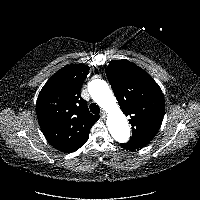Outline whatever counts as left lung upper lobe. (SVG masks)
<instances>
[{
    "instance_id": "5c2ea615",
    "label": "left lung upper lobe",
    "mask_w": 200,
    "mask_h": 200,
    "mask_svg": "<svg viewBox=\"0 0 200 200\" xmlns=\"http://www.w3.org/2000/svg\"><path fill=\"white\" fill-rule=\"evenodd\" d=\"M106 75L120 108L131 117L132 137L124 144L130 150L144 147L156 136L164 117L165 101L159 85L128 60L111 61Z\"/></svg>"
}]
</instances>
